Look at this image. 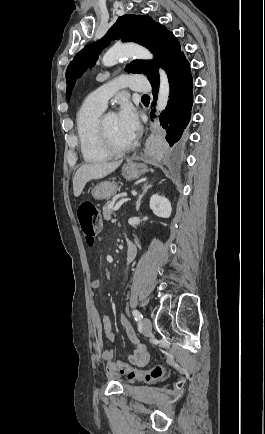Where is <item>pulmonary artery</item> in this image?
Listing matches in <instances>:
<instances>
[{
  "label": "pulmonary artery",
  "mask_w": 265,
  "mask_h": 434,
  "mask_svg": "<svg viewBox=\"0 0 265 434\" xmlns=\"http://www.w3.org/2000/svg\"><path fill=\"white\" fill-rule=\"evenodd\" d=\"M131 84H147L149 78L147 75H127L120 74L109 81L104 82V87H95L94 91L87 94L89 103H101L106 106L110 96H115L116 90H121L123 86Z\"/></svg>",
  "instance_id": "1"
}]
</instances>
